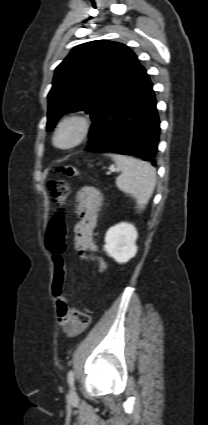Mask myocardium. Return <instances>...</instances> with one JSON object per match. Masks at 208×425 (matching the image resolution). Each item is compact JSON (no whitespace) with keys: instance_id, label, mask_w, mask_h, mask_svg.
<instances>
[{"instance_id":"myocardium-1","label":"myocardium","mask_w":208,"mask_h":425,"mask_svg":"<svg viewBox=\"0 0 208 425\" xmlns=\"http://www.w3.org/2000/svg\"><path fill=\"white\" fill-rule=\"evenodd\" d=\"M92 123L90 119L82 114H71L63 117L55 127L52 142L59 149L67 150L75 148L84 143L90 136ZM69 133V139L61 141L63 134Z\"/></svg>"}]
</instances>
